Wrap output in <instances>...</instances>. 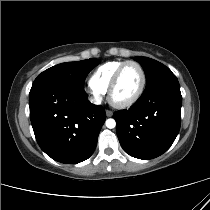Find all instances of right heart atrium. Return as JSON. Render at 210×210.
Masks as SVG:
<instances>
[{
	"instance_id": "right-heart-atrium-1",
	"label": "right heart atrium",
	"mask_w": 210,
	"mask_h": 210,
	"mask_svg": "<svg viewBox=\"0 0 210 210\" xmlns=\"http://www.w3.org/2000/svg\"><path fill=\"white\" fill-rule=\"evenodd\" d=\"M87 92L93 97L95 100H100L102 98V94L100 91L89 85L87 87Z\"/></svg>"
}]
</instances>
